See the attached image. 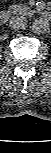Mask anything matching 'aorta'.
Segmentation results:
<instances>
[{
    "instance_id": "obj_1",
    "label": "aorta",
    "mask_w": 51,
    "mask_h": 153,
    "mask_svg": "<svg viewBox=\"0 0 51 153\" xmlns=\"http://www.w3.org/2000/svg\"><path fill=\"white\" fill-rule=\"evenodd\" d=\"M49 27L50 24L48 20L38 18L33 21L31 29L35 34H43L49 30Z\"/></svg>"
}]
</instances>
